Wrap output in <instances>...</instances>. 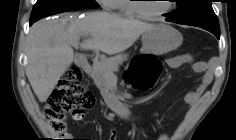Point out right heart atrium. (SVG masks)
<instances>
[{"mask_svg":"<svg viewBox=\"0 0 236 140\" xmlns=\"http://www.w3.org/2000/svg\"><path fill=\"white\" fill-rule=\"evenodd\" d=\"M99 2L101 3V5L105 10L113 9L112 5L110 4L111 0H100Z\"/></svg>","mask_w":236,"mask_h":140,"instance_id":"obj_1","label":"right heart atrium"}]
</instances>
